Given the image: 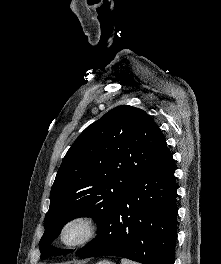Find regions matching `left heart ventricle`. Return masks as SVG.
<instances>
[{
    "mask_svg": "<svg viewBox=\"0 0 221 264\" xmlns=\"http://www.w3.org/2000/svg\"><path fill=\"white\" fill-rule=\"evenodd\" d=\"M79 236V230L77 228H72L70 229L67 234H66V238L69 241H73L75 239H77Z\"/></svg>",
    "mask_w": 221,
    "mask_h": 264,
    "instance_id": "1",
    "label": "left heart ventricle"
}]
</instances>
